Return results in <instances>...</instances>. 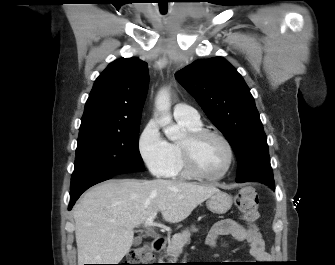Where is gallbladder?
Returning a JSON list of instances; mask_svg holds the SVG:
<instances>
[{
	"label": "gallbladder",
	"mask_w": 335,
	"mask_h": 265,
	"mask_svg": "<svg viewBox=\"0 0 335 265\" xmlns=\"http://www.w3.org/2000/svg\"><path fill=\"white\" fill-rule=\"evenodd\" d=\"M141 242H142V237H141V236H138V237H136V238L134 239L133 244H134L135 246H138V245L141 244Z\"/></svg>",
	"instance_id": "bac80fb5"
}]
</instances>
